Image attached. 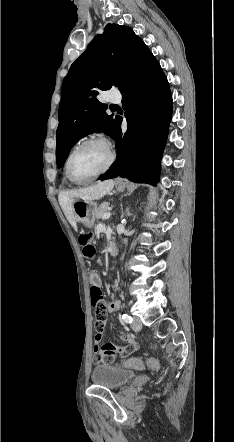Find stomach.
I'll use <instances>...</instances> for the list:
<instances>
[{
  "label": "stomach",
  "instance_id": "stomach-1",
  "mask_svg": "<svg viewBox=\"0 0 234 442\" xmlns=\"http://www.w3.org/2000/svg\"><path fill=\"white\" fill-rule=\"evenodd\" d=\"M126 187L125 183H116V189L123 191ZM73 211L77 222L82 223L87 228H92L95 221L97 204L93 201H84L77 199L73 205Z\"/></svg>",
  "mask_w": 234,
  "mask_h": 442
}]
</instances>
